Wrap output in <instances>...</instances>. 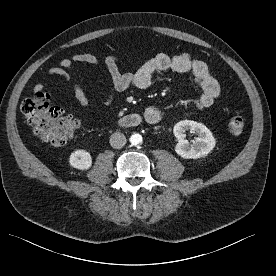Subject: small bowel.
Listing matches in <instances>:
<instances>
[{
  "mask_svg": "<svg viewBox=\"0 0 276 276\" xmlns=\"http://www.w3.org/2000/svg\"><path fill=\"white\" fill-rule=\"evenodd\" d=\"M97 64L98 58L90 53H77L70 58H63L57 66L48 70L50 75L59 76L65 82H71L75 97L82 106H88V99L77 79H71L70 72L73 63ZM105 66L111 78L103 103L109 104L116 93L123 92L130 87L145 90L151 85L154 75L158 72L171 70L176 73H190L202 94L193 102V107L204 110L211 107L220 93L219 83L210 75L207 64L201 60L192 58L187 53L169 56L164 53L157 54L149 61L143 63L135 72L122 73L119 69L118 59L115 56L105 58ZM34 92L45 91L43 83L34 85ZM145 120L150 124L158 123L161 119V111L154 106H149L144 111Z\"/></svg>",
  "mask_w": 276,
  "mask_h": 276,
  "instance_id": "small-bowel-1",
  "label": "small bowel"
}]
</instances>
